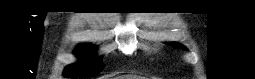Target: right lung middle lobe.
Returning a JSON list of instances; mask_svg holds the SVG:
<instances>
[{"label":"right lung middle lobe","mask_w":255,"mask_h":79,"mask_svg":"<svg viewBox=\"0 0 255 79\" xmlns=\"http://www.w3.org/2000/svg\"><path fill=\"white\" fill-rule=\"evenodd\" d=\"M94 51V48L90 45H81L77 50L76 54L80 57H85L91 54ZM103 65L100 60H97L93 63H90L88 66H78L77 64L68 66L64 75L68 77H90L98 74L102 69Z\"/></svg>","instance_id":"dd1d6c3e"}]
</instances>
